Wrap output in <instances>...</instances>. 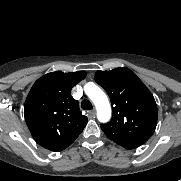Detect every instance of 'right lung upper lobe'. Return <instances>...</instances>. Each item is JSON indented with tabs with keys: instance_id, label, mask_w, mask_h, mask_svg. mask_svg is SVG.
I'll return each mask as SVG.
<instances>
[{
	"instance_id": "right-lung-upper-lobe-1",
	"label": "right lung upper lobe",
	"mask_w": 181,
	"mask_h": 181,
	"mask_svg": "<svg viewBox=\"0 0 181 181\" xmlns=\"http://www.w3.org/2000/svg\"><path fill=\"white\" fill-rule=\"evenodd\" d=\"M85 71L45 74L32 86L24 106L27 126L42 147L59 152L70 146L87 124L71 89L83 80Z\"/></svg>"
}]
</instances>
